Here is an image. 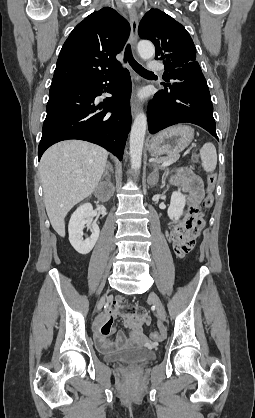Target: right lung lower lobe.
Masks as SVG:
<instances>
[{"label": "right lung lower lobe", "mask_w": 255, "mask_h": 418, "mask_svg": "<svg viewBox=\"0 0 255 418\" xmlns=\"http://www.w3.org/2000/svg\"><path fill=\"white\" fill-rule=\"evenodd\" d=\"M106 91L112 97L97 105L96 97ZM130 95L127 69L110 76L52 84L39 159L54 143L79 139L98 144L122 160L131 127Z\"/></svg>", "instance_id": "right-lung-lower-lobe-1"}]
</instances>
